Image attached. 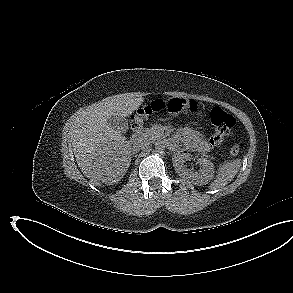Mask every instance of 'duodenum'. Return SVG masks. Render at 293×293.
<instances>
[{"label": "duodenum", "instance_id": "1", "mask_svg": "<svg viewBox=\"0 0 293 293\" xmlns=\"http://www.w3.org/2000/svg\"><path fill=\"white\" fill-rule=\"evenodd\" d=\"M143 140V134L140 128H138L133 134L132 141L135 145L140 144Z\"/></svg>", "mask_w": 293, "mask_h": 293}]
</instances>
